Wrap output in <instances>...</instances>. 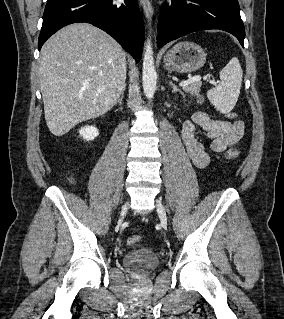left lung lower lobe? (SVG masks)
Instances as JSON below:
<instances>
[{
    "label": "left lung lower lobe",
    "mask_w": 284,
    "mask_h": 319,
    "mask_svg": "<svg viewBox=\"0 0 284 319\" xmlns=\"http://www.w3.org/2000/svg\"><path fill=\"white\" fill-rule=\"evenodd\" d=\"M219 29L233 34L244 47L245 28L237 0H171L161 8L157 46L191 32Z\"/></svg>",
    "instance_id": "0a47b994"
}]
</instances>
